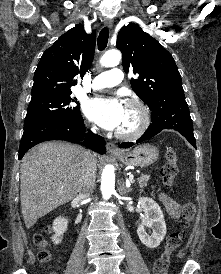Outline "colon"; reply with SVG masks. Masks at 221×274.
<instances>
[{"mask_svg":"<svg viewBox=\"0 0 221 274\" xmlns=\"http://www.w3.org/2000/svg\"><path fill=\"white\" fill-rule=\"evenodd\" d=\"M177 160L178 157L176 152L173 149H169L166 153V163L161 170L164 185L168 188L173 187L174 179L177 175ZM194 216L195 206L192 203H186L183 207L182 214L184 229L182 231L172 232L168 235L166 239L165 249L154 264V274H167L170 264V258L173 252L183 243L184 237L186 235V230L189 227L190 223L193 221ZM34 242L36 246L40 248V251L38 253L39 260L41 262H48L50 260V253L44 249L46 246L45 235L42 233L36 234L34 237Z\"/></svg>","mask_w":221,"mask_h":274,"instance_id":"colon-1","label":"colon"}]
</instances>
